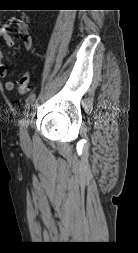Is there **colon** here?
<instances>
[{"label":"colon","mask_w":138,"mask_h":253,"mask_svg":"<svg viewBox=\"0 0 138 253\" xmlns=\"http://www.w3.org/2000/svg\"><path fill=\"white\" fill-rule=\"evenodd\" d=\"M31 76L28 72H25L19 80L18 92L23 95L31 90Z\"/></svg>","instance_id":"colon-1"}]
</instances>
